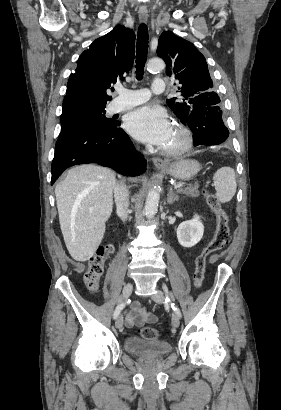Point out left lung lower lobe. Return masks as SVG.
<instances>
[{
    "label": "left lung lower lobe",
    "instance_id": "obj_1",
    "mask_svg": "<svg viewBox=\"0 0 281 410\" xmlns=\"http://www.w3.org/2000/svg\"><path fill=\"white\" fill-rule=\"evenodd\" d=\"M183 124L192 130L194 146L218 145L229 136L219 105L194 107Z\"/></svg>",
    "mask_w": 281,
    "mask_h": 410
}]
</instances>
